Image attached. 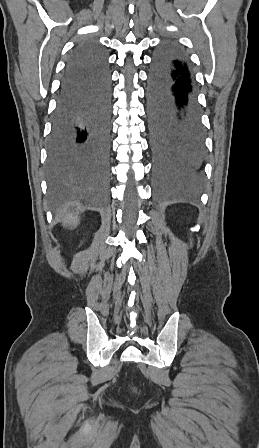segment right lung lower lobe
Instances as JSON below:
<instances>
[{
  "instance_id": "1",
  "label": "right lung lower lobe",
  "mask_w": 259,
  "mask_h": 448,
  "mask_svg": "<svg viewBox=\"0 0 259 448\" xmlns=\"http://www.w3.org/2000/svg\"><path fill=\"white\" fill-rule=\"evenodd\" d=\"M111 78L103 48L81 41L67 61L48 141L47 172L55 186L107 182L111 158Z\"/></svg>"
}]
</instances>
